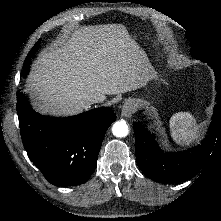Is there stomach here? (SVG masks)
Listing matches in <instances>:
<instances>
[{
    "label": "stomach",
    "mask_w": 221,
    "mask_h": 221,
    "mask_svg": "<svg viewBox=\"0 0 221 221\" xmlns=\"http://www.w3.org/2000/svg\"><path fill=\"white\" fill-rule=\"evenodd\" d=\"M148 69L150 71L151 80L156 83L159 82L160 77L157 75V73L155 72V70L153 69V67L149 63H148Z\"/></svg>",
    "instance_id": "obj_1"
}]
</instances>
